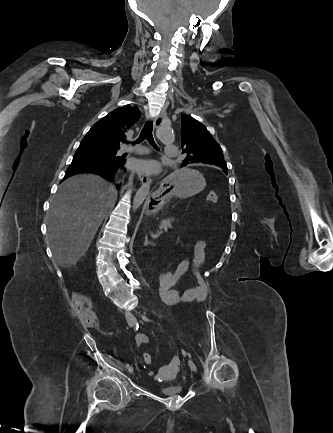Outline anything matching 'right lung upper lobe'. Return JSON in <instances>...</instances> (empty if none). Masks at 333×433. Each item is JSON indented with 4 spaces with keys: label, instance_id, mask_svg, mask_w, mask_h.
Wrapping results in <instances>:
<instances>
[{
    "label": "right lung upper lobe",
    "instance_id": "obj_1",
    "mask_svg": "<svg viewBox=\"0 0 333 433\" xmlns=\"http://www.w3.org/2000/svg\"><path fill=\"white\" fill-rule=\"evenodd\" d=\"M137 107L117 108L95 123L82 140L105 150H119L120 142L126 138L129 128L140 118Z\"/></svg>",
    "mask_w": 333,
    "mask_h": 433
}]
</instances>
